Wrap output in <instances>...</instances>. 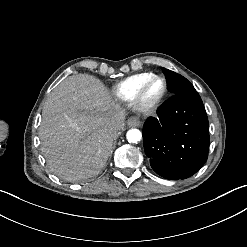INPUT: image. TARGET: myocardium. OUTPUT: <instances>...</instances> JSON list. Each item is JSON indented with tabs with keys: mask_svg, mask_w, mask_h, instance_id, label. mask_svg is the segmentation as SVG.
Masks as SVG:
<instances>
[{
	"mask_svg": "<svg viewBox=\"0 0 247 247\" xmlns=\"http://www.w3.org/2000/svg\"><path fill=\"white\" fill-rule=\"evenodd\" d=\"M154 81H162L164 83V89L162 93L153 101L147 102L145 100V91L147 87ZM168 93V83L163 76L154 75L144 80L137 88L135 95L131 101V109L139 114H148L155 110L166 98Z\"/></svg>",
	"mask_w": 247,
	"mask_h": 247,
	"instance_id": "myocardium-1",
	"label": "myocardium"
}]
</instances>
